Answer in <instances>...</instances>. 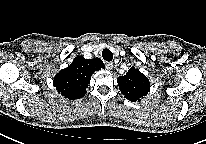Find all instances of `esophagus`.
Here are the masks:
<instances>
[{
    "label": "esophagus",
    "mask_w": 206,
    "mask_h": 144,
    "mask_svg": "<svg viewBox=\"0 0 206 144\" xmlns=\"http://www.w3.org/2000/svg\"><path fill=\"white\" fill-rule=\"evenodd\" d=\"M114 64L112 62H106L105 63V67L107 70H112L113 69Z\"/></svg>",
    "instance_id": "obj_1"
}]
</instances>
